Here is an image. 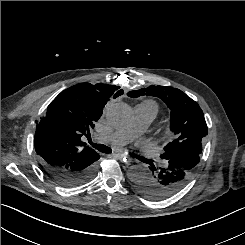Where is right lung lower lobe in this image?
<instances>
[{
	"mask_svg": "<svg viewBox=\"0 0 245 245\" xmlns=\"http://www.w3.org/2000/svg\"><path fill=\"white\" fill-rule=\"evenodd\" d=\"M100 156L84 158L66 164L62 167H51L41 162L45 173L63 187L72 188L85 184L91 180L97 169Z\"/></svg>",
	"mask_w": 245,
	"mask_h": 245,
	"instance_id": "1",
	"label": "right lung lower lobe"
}]
</instances>
